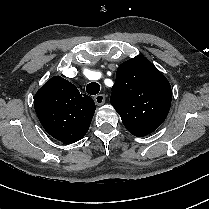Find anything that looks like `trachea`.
I'll return each instance as SVG.
<instances>
[{
	"label": "trachea",
	"instance_id": "3493384b",
	"mask_svg": "<svg viewBox=\"0 0 209 209\" xmlns=\"http://www.w3.org/2000/svg\"><path fill=\"white\" fill-rule=\"evenodd\" d=\"M86 91L90 95H96L100 91V85L96 82H91L86 86Z\"/></svg>",
	"mask_w": 209,
	"mask_h": 209
}]
</instances>
